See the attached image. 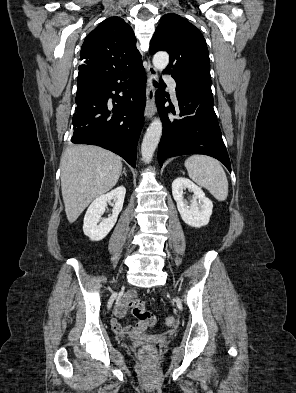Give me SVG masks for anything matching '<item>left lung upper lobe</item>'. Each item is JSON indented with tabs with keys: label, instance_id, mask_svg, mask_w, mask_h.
<instances>
[{
	"label": "left lung upper lobe",
	"instance_id": "1",
	"mask_svg": "<svg viewBox=\"0 0 296 393\" xmlns=\"http://www.w3.org/2000/svg\"><path fill=\"white\" fill-rule=\"evenodd\" d=\"M165 50L169 65L163 71L176 81V90L189 88L211 90L210 59L201 32L176 14L161 18L150 43V53Z\"/></svg>",
	"mask_w": 296,
	"mask_h": 393
}]
</instances>
